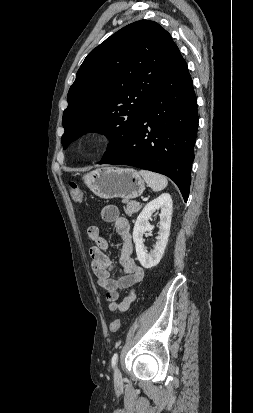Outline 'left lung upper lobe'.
<instances>
[{
    "label": "left lung upper lobe",
    "instance_id": "obj_1",
    "mask_svg": "<svg viewBox=\"0 0 253 413\" xmlns=\"http://www.w3.org/2000/svg\"><path fill=\"white\" fill-rule=\"evenodd\" d=\"M178 53L170 34L148 20L125 26L94 48L68 92L63 149L81 135L97 131L110 139L99 163L122 150Z\"/></svg>",
    "mask_w": 253,
    "mask_h": 413
}]
</instances>
